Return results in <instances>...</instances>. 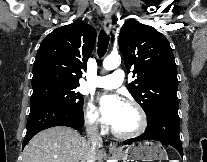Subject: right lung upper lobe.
Returning <instances> with one entry per match:
<instances>
[{
    "label": "right lung upper lobe",
    "instance_id": "right-lung-upper-lobe-1",
    "mask_svg": "<svg viewBox=\"0 0 207 162\" xmlns=\"http://www.w3.org/2000/svg\"><path fill=\"white\" fill-rule=\"evenodd\" d=\"M95 36V29L82 20L59 27L47 35L40 44L33 65L32 86H79L81 69L87 65Z\"/></svg>",
    "mask_w": 207,
    "mask_h": 162
}]
</instances>
